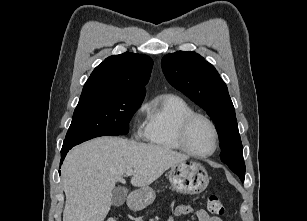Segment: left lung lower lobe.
Masks as SVG:
<instances>
[{
	"instance_id": "0a47b994",
	"label": "left lung lower lobe",
	"mask_w": 307,
	"mask_h": 221,
	"mask_svg": "<svg viewBox=\"0 0 307 221\" xmlns=\"http://www.w3.org/2000/svg\"><path fill=\"white\" fill-rule=\"evenodd\" d=\"M241 180L244 181V178L242 177Z\"/></svg>"
}]
</instances>
